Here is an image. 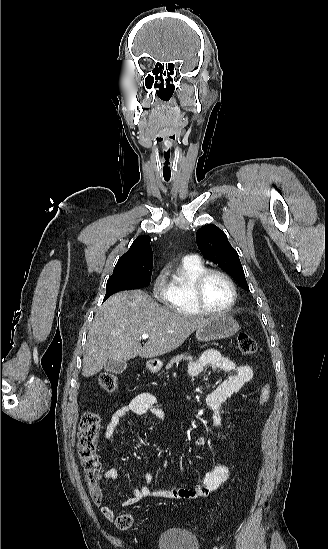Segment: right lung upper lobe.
Returning a JSON list of instances; mask_svg holds the SVG:
<instances>
[{"instance_id":"right-lung-upper-lobe-1","label":"right lung upper lobe","mask_w":328,"mask_h":549,"mask_svg":"<svg viewBox=\"0 0 328 549\" xmlns=\"http://www.w3.org/2000/svg\"><path fill=\"white\" fill-rule=\"evenodd\" d=\"M147 260H153V254L150 246V237L144 235L134 240L129 250L118 260L114 271Z\"/></svg>"}]
</instances>
